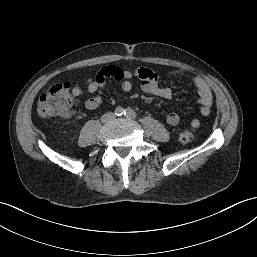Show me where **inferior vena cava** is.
Masks as SVG:
<instances>
[{"mask_svg":"<svg viewBox=\"0 0 257 257\" xmlns=\"http://www.w3.org/2000/svg\"><path fill=\"white\" fill-rule=\"evenodd\" d=\"M114 117H115V114H114V113L108 112V113L102 115L101 121H102V122H110L111 120L114 119Z\"/></svg>","mask_w":257,"mask_h":257,"instance_id":"inferior-vena-cava-1","label":"inferior vena cava"}]
</instances>
